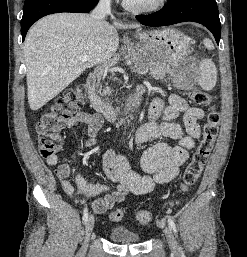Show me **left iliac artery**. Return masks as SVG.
<instances>
[{
  "mask_svg": "<svg viewBox=\"0 0 247 257\" xmlns=\"http://www.w3.org/2000/svg\"><path fill=\"white\" fill-rule=\"evenodd\" d=\"M168 223H169L170 228L174 231V233L177 234L176 225L170 217H168Z\"/></svg>",
  "mask_w": 247,
  "mask_h": 257,
  "instance_id": "left-iliac-artery-1",
  "label": "left iliac artery"
}]
</instances>
